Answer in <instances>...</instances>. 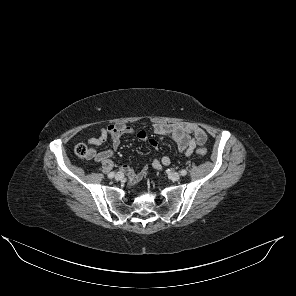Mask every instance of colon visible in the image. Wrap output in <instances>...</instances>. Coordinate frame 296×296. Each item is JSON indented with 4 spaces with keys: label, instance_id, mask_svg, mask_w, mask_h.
I'll use <instances>...</instances> for the list:
<instances>
[{
    "label": "colon",
    "instance_id": "5ec220e1",
    "mask_svg": "<svg viewBox=\"0 0 296 296\" xmlns=\"http://www.w3.org/2000/svg\"><path fill=\"white\" fill-rule=\"evenodd\" d=\"M74 152L79 158L82 159H88L93 155V151L83 143L76 144L74 147ZM197 153L201 156H205L207 154V150L204 147H199L197 149Z\"/></svg>",
    "mask_w": 296,
    "mask_h": 296
}]
</instances>
